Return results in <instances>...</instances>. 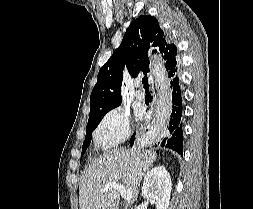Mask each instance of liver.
<instances>
[{"instance_id": "liver-1", "label": "liver", "mask_w": 253, "mask_h": 209, "mask_svg": "<svg viewBox=\"0 0 253 209\" xmlns=\"http://www.w3.org/2000/svg\"><path fill=\"white\" fill-rule=\"evenodd\" d=\"M156 158L155 151L123 148L111 150L97 158L80 183V209H119L118 190L100 191L108 182L121 181L132 192L133 202L136 201L137 186Z\"/></svg>"}]
</instances>
